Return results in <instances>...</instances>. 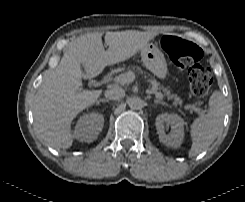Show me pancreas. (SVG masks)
Here are the masks:
<instances>
[{"mask_svg":"<svg viewBox=\"0 0 245 202\" xmlns=\"http://www.w3.org/2000/svg\"><path fill=\"white\" fill-rule=\"evenodd\" d=\"M140 73H143L142 70H138ZM149 81L152 84V87L154 90H162L164 92V95L168 98V99H172L174 100V104H182V99L180 97H178L175 94H171V92L169 90H167L166 88H164L163 86H161L154 78H150Z\"/></svg>","mask_w":245,"mask_h":202,"instance_id":"obj_1","label":"pancreas"}]
</instances>
